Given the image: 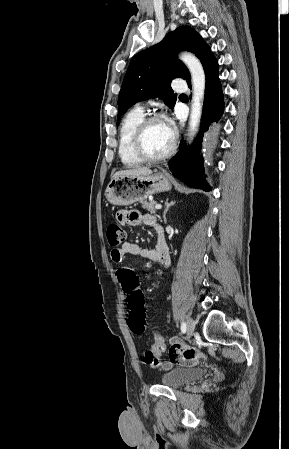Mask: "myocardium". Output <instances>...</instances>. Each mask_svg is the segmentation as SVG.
Segmentation results:
<instances>
[{
	"mask_svg": "<svg viewBox=\"0 0 289 449\" xmlns=\"http://www.w3.org/2000/svg\"><path fill=\"white\" fill-rule=\"evenodd\" d=\"M154 122H165L167 124V121L165 117L161 114H152L147 117H145L141 123L138 125L134 137H133V147L135 154L145 162H160L163 161L175 152L177 148V133L176 131L171 128L172 131V143L170 148L162 155L160 156H151L149 155L144 147V135L147 130V128ZM168 125V124H167Z\"/></svg>",
	"mask_w": 289,
	"mask_h": 449,
	"instance_id": "1",
	"label": "myocardium"
}]
</instances>
